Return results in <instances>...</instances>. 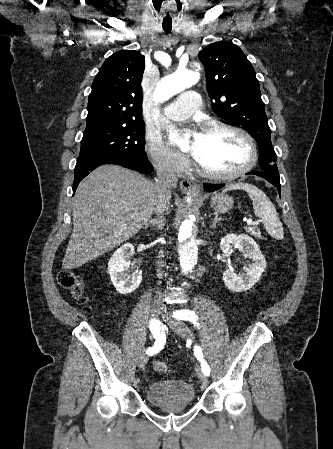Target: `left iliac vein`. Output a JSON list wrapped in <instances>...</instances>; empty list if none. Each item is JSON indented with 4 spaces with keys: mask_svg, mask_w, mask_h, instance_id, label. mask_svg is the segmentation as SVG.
<instances>
[{
    "mask_svg": "<svg viewBox=\"0 0 333 449\" xmlns=\"http://www.w3.org/2000/svg\"><path fill=\"white\" fill-rule=\"evenodd\" d=\"M163 319L169 325V327L180 337L187 339L193 337V334L191 330L188 328V326H186L182 322L173 320L168 312L165 311L163 313ZM196 374L200 379V381L203 382V384H207L208 379L200 368L196 369Z\"/></svg>",
    "mask_w": 333,
    "mask_h": 449,
    "instance_id": "left-iliac-vein-1",
    "label": "left iliac vein"
}]
</instances>
